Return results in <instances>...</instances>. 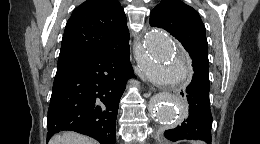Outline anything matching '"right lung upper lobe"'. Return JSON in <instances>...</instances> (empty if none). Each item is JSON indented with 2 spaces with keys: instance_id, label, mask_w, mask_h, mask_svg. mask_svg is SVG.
<instances>
[{
  "instance_id": "right-lung-upper-lobe-1",
  "label": "right lung upper lobe",
  "mask_w": 260,
  "mask_h": 144,
  "mask_svg": "<svg viewBox=\"0 0 260 144\" xmlns=\"http://www.w3.org/2000/svg\"><path fill=\"white\" fill-rule=\"evenodd\" d=\"M124 9L118 0H87L69 18L58 64L129 44Z\"/></svg>"
}]
</instances>
